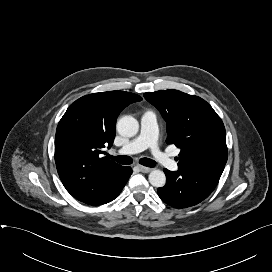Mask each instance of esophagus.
Listing matches in <instances>:
<instances>
[{
  "mask_svg": "<svg viewBox=\"0 0 272 272\" xmlns=\"http://www.w3.org/2000/svg\"><path fill=\"white\" fill-rule=\"evenodd\" d=\"M138 168L143 173H149L153 170V168H149V167H145V166H141V165H139Z\"/></svg>",
  "mask_w": 272,
  "mask_h": 272,
  "instance_id": "34e87169",
  "label": "esophagus"
}]
</instances>
